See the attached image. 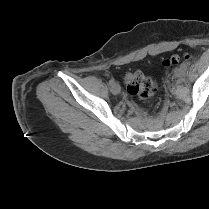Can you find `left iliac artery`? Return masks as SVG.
Returning <instances> with one entry per match:
<instances>
[{
    "label": "left iliac artery",
    "mask_w": 209,
    "mask_h": 209,
    "mask_svg": "<svg viewBox=\"0 0 209 209\" xmlns=\"http://www.w3.org/2000/svg\"><path fill=\"white\" fill-rule=\"evenodd\" d=\"M181 68H182L184 71H186V69H187V63L183 62V63L181 64Z\"/></svg>",
    "instance_id": "44dca946"
}]
</instances>
